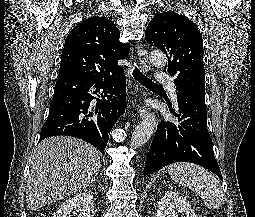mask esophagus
<instances>
[{
  "instance_id": "obj_1",
  "label": "esophagus",
  "mask_w": 255,
  "mask_h": 217,
  "mask_svg": "<svg viewBox=\"0 0 255 217\" xmlns=\"http://www.w3.org/2000/svg\"><path fill=\"white\" fill-rule=\"evenodd\" d=\"M136 48H137V54H138V59H139V64H140L141 69L144 72H149L151 69V64L148 60L146 50L140 44H138ZM139 115H140V118H142V119H150V120L155 121L154 113L143 108V107H140Z\"/></svg>"
}]
</instances>
